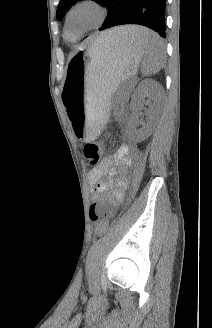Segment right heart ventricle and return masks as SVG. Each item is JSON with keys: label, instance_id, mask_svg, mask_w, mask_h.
<instances>
[{"label": "right heart ventricle", "instance_id": "1", "mask_svg": "<svg viewBox=\"0 0 212 328\" xmlns=\"http://www.w3.org/2000/svg\"><path fill=\"white\" fill-rule=\"evenodd\" d=\"M65 36L67 38L68 41H74L75 40V35L74 33H72L71 31H66L65 32Z\"/></svg>", "mask_w": 212, "mask_h": 328}]
</instances>
